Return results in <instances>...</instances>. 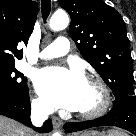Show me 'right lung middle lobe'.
<instances>
[{
    "instance_id": "dd1d6c3e",
    "label": "right lung middle lobe",
    "mask_w": 136,
    "mask_h": 136,
    "mask_svg": "<svg viewBox=\"0 0 136 136\" xmlns=\"http://www.w3.org/2000/svg\"><path fill=\"white\" fill-rule=\"evenodd\" d=\"M27 90L26 78L15 63L0 64V97H17Z\"/></svg>"
}]
</instances>
